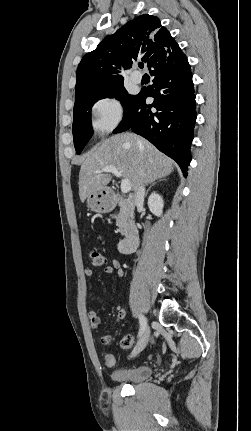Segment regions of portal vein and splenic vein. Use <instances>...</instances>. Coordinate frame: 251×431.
I'll use <instances>...</instances> for the list:
<instances>
[{
    "label": "portal vein and splenic vein",
    "mask_w": 251,
    "mask_h": 431,
    "mask_svg": "<svg viewBox=\"0 0 251 431\" xmlns=\"http://www.w3.org/2000/svg\"><path fill=\"white\" fill-rule=\"evenodd\" d=\"M96 173H112L116 177H121V172L115 166H107L101 170H96ZM131 190V183L128 179H122L121 181V191L122 193H128Z\"/></svg>",
    "instance_id": "1"
}]
</instances>
